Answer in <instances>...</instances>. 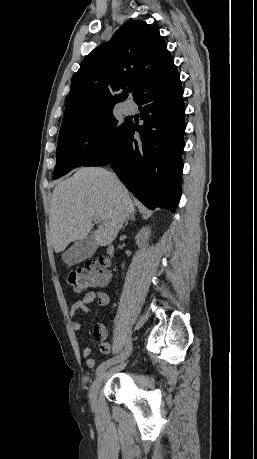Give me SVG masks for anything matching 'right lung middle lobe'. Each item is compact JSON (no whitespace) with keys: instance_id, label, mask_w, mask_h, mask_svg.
Wrapping results in <instances>:
<instances>
[{"instance_id":"dd1d6c3e","label":"right lung middle lobe","mask_w":257,"mask_h":459,"mask_svg":"<svg viewBox=\"0 0 257 459\" xmlns=\"http://www.w3.org/2000/svg\"><path fill=\"white\" fill-rule=\"evenodd\" d=\"M127 124L119 123L112 110H109L59 133L53 179L106 153Z\"/></svg>"}]
</instances>
